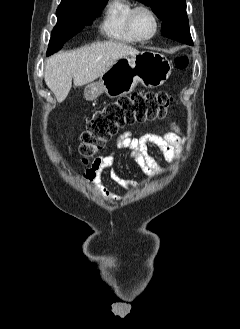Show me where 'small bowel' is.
Wrapping results in <instances>:
<instances>
[{"instance_id": "obj_1", "label": "small bowel", "mask_w": 240, "mask_h": 329, "mask_svg": "<svg viewBox=\"0 0 240 329\" xmlns=\"http://www.w3.org/2000/svg\"><path fill=\"white\" fill-rule=\"evenodd\" d=\"M183 135L176 124L164 134L143 132L134 135L126 131L115 141L116 151H126L129 157L139 166L144 174L153 178L161 171L160 166L149 153V146L157 147L168 163H172L181 151ZM116 153L112 152L97 158L84 174V181L92 186L94 192L107 200H118L101 182L102 175L107 172L110 179L123 187L136 188V184L120 177L114 170Z\"/></svg>"}]
</instances>
